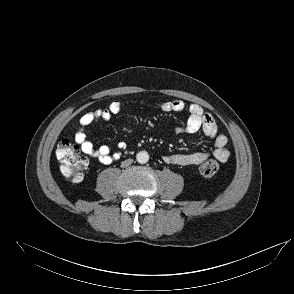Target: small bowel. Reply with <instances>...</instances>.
<instances>
[{
  "instance_id": "1",
  "label": "small bowel",
  "mask_w": 294,
  "mask_h": 294,
  "mask_svg": "<svg viewBox=\"0 0 294 294\" xmlns=\"http://www.w3.org/2000/svg\"><path fill=\"white\" fill-rule=\"evenodd\" d=\"M159 107L165 112L187 111L189 116L186 123L175 127L174 132L177 134H194L202 131L207 138L213 140L215 146L213 156L221 162H226L229 159L230 151L226 147L227 137L222 133H218L215 120L200 105L195 103L186 104L182 100H171L160 103ZM122 109L123 104L118 100H114L108 107L88 112L80 118L75 141L84 154L94 157L106 165L115 162L121 157V150L125 148L123 142L118 144L120 151L112 153L111 149L106 145L95 148L93 143L87 139V135L98 121H108L113 115L120 113ZM208 157H210L209 153L201 151L173 153L165 156L164 161L171 165L188 166L199 165Z\"/></svg>"
}]
</instances>
